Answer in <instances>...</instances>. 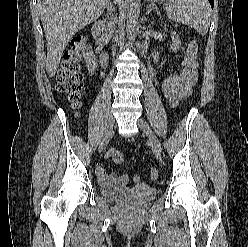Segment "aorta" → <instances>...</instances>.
I'll use <instances>...</instances> for the list:
<instances>
[{
  "label": "aorta",
  "mask_w": 248,
  "mask_h": 247,
  "mask_svg": "<svg viewBox=\"0 0 248 247\" xmlns=\"http://www.w3.org/2000/svg\"><path fill=\"white\" fill-rule=\"evenodd\" d=\"M139 3L138 0L125 1L126 31L130 41H134L139 28Z\"/></svg>",
  "instance_id": "aorta-1"
}]
</instances>
